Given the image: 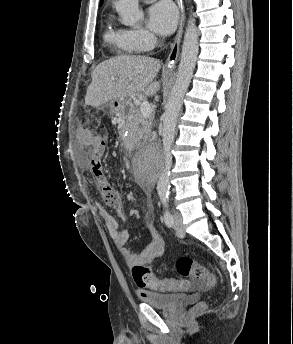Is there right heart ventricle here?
<instances>
[{"instance_id":"1","label":"right heart ventricle","mask_w":293,"mask_h":344,"mask_svg":"<svg viewBox=\"0 0 293 344\" xmlns=\"http://www.w3.org/2000/svg\"><path fill=\"white\" fill-rule=\"evenodd\" d=\"M103 38L105 42L120 54L132 55L138 51L129 42L126 30L118 28L108 19Z\"/></svg>"}]
</instances>
